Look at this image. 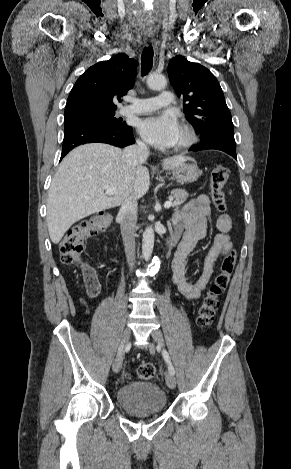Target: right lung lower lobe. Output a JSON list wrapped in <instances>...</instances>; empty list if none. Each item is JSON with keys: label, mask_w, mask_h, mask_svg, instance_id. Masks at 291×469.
I'll return each instance as SVG.
<instances>
[{"label": "right lung lower lobe", "mask_w": 291, "mask_h": 469, "mask_svg": "<svg viewBox=\"0 0 291 469\" xmlns=\"http://www.w3.org/2000/svg\"><path fill=\"white\" fill-rule=\"evenodd\" d=\"M85 143H107L125 147L135 143L132 128L125 123L105 125L96 122L80 121L65 125L61 159L73 148Z\"/></svg>", "instance_id": "98d812e1"}]
</instances>
